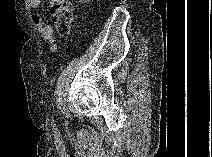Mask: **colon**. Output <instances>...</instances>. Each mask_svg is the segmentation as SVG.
<instances>
[{
	"label": "colon",
	"mask_w": 212,
	"mask_h": 157,
	"mask_svg": "<svg viewBox=\"0 0 212 157\" xmlns=\"http://www.w3.org/2000/svg\"><path fill=\"white\" fill-rule=\"evenodd\" d=\"M53 24L60 34H67L72 24V5L68 1H55L50 9Z\"/></svg>",
	"instance_id": "obj_1"
}]
</instances>
